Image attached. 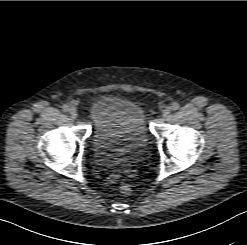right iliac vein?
<instances>
[{
    "label": "right iliac vein",
    "mask_w": 247,
    "mask_h": 245,
    "mask_svg": "<svg viewBox=\"0 0 247 245\" xmlns=\"http://www.w3.org/2000/svg\"><path fill=\"white\" fill-rule=\"evenodd\" d=\"M69 114H70V116L73 118V119H75L76 117H77V110L75 109V108H70V110H69Z\"/></svg>",
    "instance_id": "63e3f726"
}]
</instances>
